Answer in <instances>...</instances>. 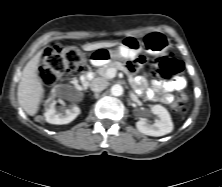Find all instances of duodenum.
Returning a JSON list of instances; mask_svg holds the SVG:
<instances>
[{"label":"duodenum","instance_id":"duodenum-1","mask_svg":"<svg viewBox=\"0 0 222 187\" xmlns=\"http://www.w3.org/2000/svg\"><path fill=\"white\" fill-rule=\"evenodd\" d=\"M93 77V73L90 70L85 71L82 75H81V83L84 85L86 84L88 81H90Z\"/></svg>","mask_w":222,"mask_h":187}]
</instances>
